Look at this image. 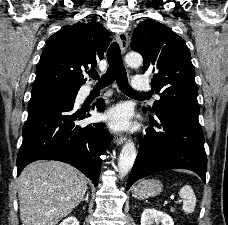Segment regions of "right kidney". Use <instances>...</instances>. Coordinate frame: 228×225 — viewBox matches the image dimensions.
I'll use <instances>...</instances> for the list:
<instances>
[{
  "label": "right kidney",
  "instance_id": "obj_1",
  "mask_svg": "<svg viewBox=\"0 0 228 225\" xmlns=\"http://www.w3.org/2000/svg\"><path fill=\"white\" fill-rule=\"evenodd\" d=\"M60 225H79V223L75 217H67V219H64Z\"/></svg>",
  "mask_w": 228,
  "mask_h": 225
}]
</instances>
